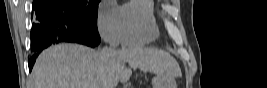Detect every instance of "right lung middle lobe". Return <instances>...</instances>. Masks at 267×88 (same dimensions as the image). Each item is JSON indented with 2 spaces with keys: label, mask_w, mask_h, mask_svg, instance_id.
Here are the masks:
<instances>
[{
  "label": "right lung middle lobe",
  "mask_w": 267,
  "mask_h": 88,
  "mask_svg": "<svg viewBox=\"0 0 267 88\" xmlns=\"http://www.w3.org/2000/svg\"><path fill=\"white\" fill-rule=\"evenodd\" d=\"M64 10L69 11L76 18L82 21L96 25L98 15V4L100 0H48Z\"/></svg>",
  "instance_id": "1"
}]
</instances>
